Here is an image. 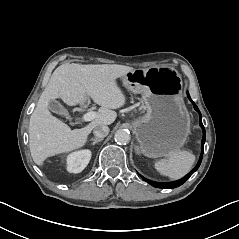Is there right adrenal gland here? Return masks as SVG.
<instances>
[{"label": "right adrenal gland", "instance_id": "right-adrenal-gland-1", "mask_svg": "<svg viewBox=\"0 0 239 239\" xmlns=\"http://www.w3.org/2000/svg\"><path fill=\"white\" fill-rule=\"evenodd\" d=\"M104 138H92L91 141H93V145H95L96 143L100 142V141H103Z\"/></svg>", "mask_w": 239, "mask_h": 239}]
</instances>
